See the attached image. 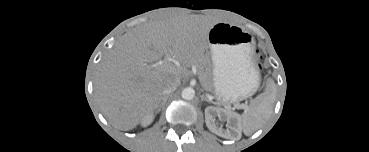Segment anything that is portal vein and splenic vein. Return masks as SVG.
<instances>
[{
	"label": "portal vein and splenic vein",
	"mask_w": 369,
	"mask_h": 152,
	"mask_svg": "<svg viewBox=\"0 0 369 152\" xmlns=\"http://www.w3.org/2000/svg\"><path fill=\"white\" fill-rule=\"evenodd\" d=\"M165 60H166V61H172L173 59H172V57H171V56H166Z\"/></svg>",
	"instance_id": "1"
}]
</instances>
